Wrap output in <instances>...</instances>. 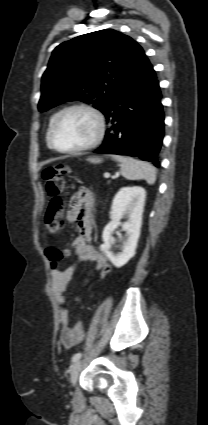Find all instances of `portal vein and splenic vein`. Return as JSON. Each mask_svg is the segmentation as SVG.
I'll use <instances>...</instances> for the list:
<instances>
[{"label":"portal vein and splenic vein","instance_id":"portal-vein-and-splenic-vein-1","mask_svg":"<svg viewBox=\"0 0 208 425\" xmlns=\"http://www.w3.org/2000/svg\"><path fill=\"white\" fill-rule=\"evenodd\" d=\"M104 177L105 178H109L110 177V174L109 173H104Z\"/></svg>","mask_w":208,"mask_h":425}]
</instances>
